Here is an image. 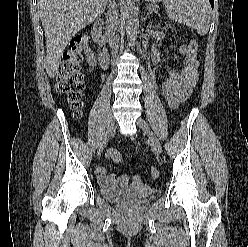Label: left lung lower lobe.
<instances>
[{
    "mask_svg": "<svg viewBox=\"0 0 248 247\" xmlns=\"http://www.w3.org/2000/svg\"><path fill=\"white\" fill-rule=\"evenodd\" d=\"M209 1L211 3L212 8H213V6H214V0H209Z\"/></svg>",
    "mask_w": 248,
    "mask_h": 247,
    "instance_id": "1",
    "label": "left lung lower lobe"
}]
</instances>
